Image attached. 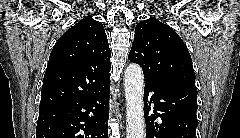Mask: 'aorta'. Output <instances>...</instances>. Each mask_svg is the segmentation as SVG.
Segmentation results:
<instances>
[{"label":"aorta","instance_id":"aorta-1","mask_svg":"<svg viewBox=\"0 0 240 138\" xmlns=\"http://www.w3.org/2000/svg\"><path fill=\"white\" fill-rule=\"evenodd\" d=\"M124 82L127 111L126 138H144V78L142 69L138 64H130L125 69Z\"/></svg>","mask_w":240,"mask_h":138}]
</instances>
